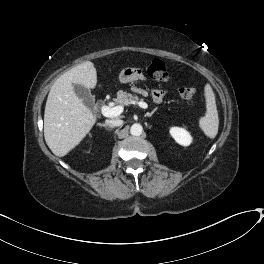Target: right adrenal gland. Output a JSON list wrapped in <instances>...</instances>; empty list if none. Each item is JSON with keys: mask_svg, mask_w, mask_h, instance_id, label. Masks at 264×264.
Instances as JSON below:
<instances>
[{"mask_svg": "<svg viewBox=\"0 0 264 264\" xmlns=\"http://www.w3.org/2000/svg\"><path fill=\"white\" fill-rule=\"evenodd\" d=\"M98 125L101 126V127H105V129H107V130H111V128L108 127L106 124H98Z\"/></svg>", "mask_w": 264, "mask_h": 264, "instance_id": "2a0ac1e0", "label": "right adrenal gland"}]
</instances>
